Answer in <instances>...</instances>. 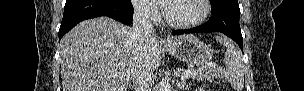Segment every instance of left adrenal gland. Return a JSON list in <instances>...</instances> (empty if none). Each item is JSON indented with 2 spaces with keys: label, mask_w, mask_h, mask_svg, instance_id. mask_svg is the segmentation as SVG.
I'll return each instance as SVG.
<instances>
[{
  "label": "left adrenal gland",
  "mask_w": 304,
  "mask_h": 91,
  "mask_svg": "<svg viewBox=\"0 0 304 91\" xmlns=\"http://www.w3.org/2000/svg\"><path fill=\"white\" fill-rule=\"evenodd\" d=\"M176 86L180 89V90H188V86H190V84H187L186 82L180 83L178 80L176 82Z\"/></svg>",
  "instance_id": "a2214340"
}]
</instances>
